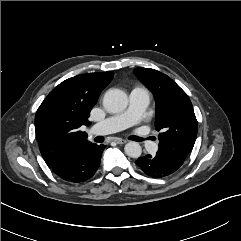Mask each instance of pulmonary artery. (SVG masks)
Segmentation results:
<instances>
[{
	"label": "pulmonary artery",
	"mask_w": 241,
	"mask_h": 241,
	"mask_svg": "<svg viewBox=\"0 0 241 241\" xmlns=\"http://www.w3.org/2000/svg\"><path fill=\"white\" fill-rule=\"evenodd\" d=\"M129 99V107L125 112L98 122L92 127V132L106 135L137 125L144 117L149 105L150 92L143 86H137L131 90ZM146 146H151V142L147 143Z\"/></svg>",
	"instance_id": "pulmonary-artery-1"
}]
</instances>
